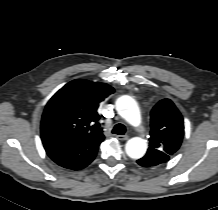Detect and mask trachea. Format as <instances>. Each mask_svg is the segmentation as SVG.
<instances>
[{"mask_svg":"<svg viewBox=\"0 0 218 210\" xmlns=\"http://www.w3.org/2000/svg\"><path fill=\"white\" fill-rule=\"evenodd\" d=\"M126 127L123 124H116L112 130L113 134L124 135Z\"/></svg>","mask_w":218,"mask_h":210,"instance_id":"obj_1","label":"trachea"}]
</instances>
